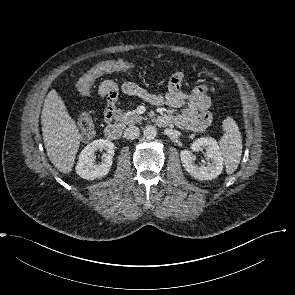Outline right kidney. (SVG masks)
<instances>
[{
    "instance_id": "1",
    "label": "right kidney",
    "mask_w": 295,
    "mask_h": 295,
    "mask_svg": "<svg viewBox=\"0 0 295 295\" xmlns=\"http://www.w3.org/2000/svg\"><path fill=\"white\" fill-rule=\"evenodd\" d=\"M114 144L107 139L94 140L88 144L80 153L79 161L76 165V173L87 180L102 178L107 175L112 166L114 156ZM97 150H105L101 163H94V153Z\"/></svg>"
}]
</instances>
